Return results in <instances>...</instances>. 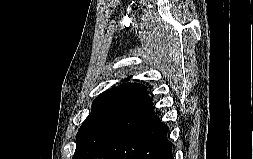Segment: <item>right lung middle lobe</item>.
<instances>
[{
    "instance_id": "1",
    "label": "right lung middle lobe",
    "mask_w": 253,
    "mask_h": 159,
    "mask_svg": "<svg viewBox=\"0 0 253 159\" xmlns=\"http://www.w3.org/2000/svg\"><path fill=\"white\" fill-rule=\"evenodd\" d=\"M153 112L152 103L122 98H97L80 127L73 159H89L100 148L131 130Z\"/></svg>"
}]
</instances>
